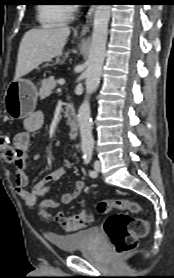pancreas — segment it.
<instances>
[{"label":"pancreas","mask_w":174,"mask_h":278,"mask_svg":"<svg viewBox=\"0 0 174 278\" xmlns=\"http://www.w3.org/2000/svg\"><path fill=\"white\" fill-rule=\"evenodd\" d=\"M56 86L54 78L45 79L41 82L39 96L41 99L48 97Z\"/></svg>","instance_id":"cf45deb5"}]
</instances>
